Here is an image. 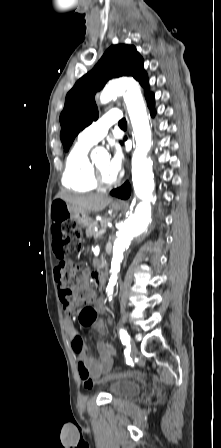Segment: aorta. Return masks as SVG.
Instances as JSON below:
<instances>
[{"label": "aorta", "mask_w": 221, "mask_h": 448, "mask_svg": "<svg viewBox=\"0 0 221 448\" xmlns=\"http://www.w3.org/2000/svg\"><path fill=\"white\" fill-rule=\"evenodd\" d=\"M119 95H123L136 140V149L132 156V182L136 196L142 201L116 233L111 255L110 281L117 277L130 241L134 236L142 233L149 224L151 218L150 203L153 200L154 191L152 162L147 159V154L151 148L152 134L138 83L133 79L112 81L102 90L100 101L102 104H106ZM101 151L100 148H97L92 155L95 157L96 153Z\"/></svg>", "instance_id": "1"}]
</instances>
